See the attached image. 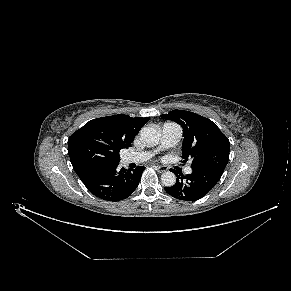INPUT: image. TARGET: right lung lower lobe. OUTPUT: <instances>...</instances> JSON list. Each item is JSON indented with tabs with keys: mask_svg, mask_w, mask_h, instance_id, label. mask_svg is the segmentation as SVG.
<instances>
[{
	"mask_svg": "<svg viewBox=\"0 0 291 291\" xmlns=\"http://www.w3.org/2000/svg\"><path fill=\"white\" fill-rule=\"evenodd\" d=\"M118 164L96 162L76 173L93 195L107 201H120L135 191L145 167L126 170L119 169Z\"/></svg>",
	"mask_w": 291,
	"mask_h": 291,
	"instance_id": "1",
	"label": "right lung lower lobe"
}]
</instances>
